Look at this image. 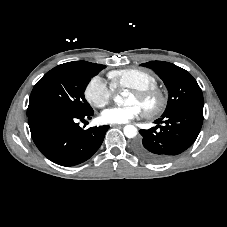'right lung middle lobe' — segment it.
Returning <instances> with one entry per match:
<instances>
[{"label": "right lung middle lobe", "instance_id": "right-lung-middle-lobe-1", "mask_svg": "<svg viewBox=\"0 0 227 227\" xmlns=\"http://www.w3.org/2000/svg\"><path fill=\"white\" fill-rule=\"evenodd\" d=\"M103 68L104 65L86 61L56 66L34 86L27 116L45 110L68 113H84L91 110L84 97V91L90 77L97 75Z\"/></svg>", "mask_w": 227, "mask_h": 227}]
</instances>
